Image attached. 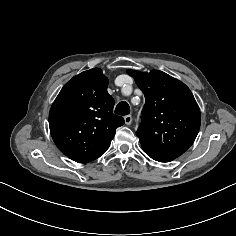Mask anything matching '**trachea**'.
Returning a JSON list of instances; mask_svg holds the SVG:
<instances>
[{
	"mask_svg": "<svg viewBox=\"0 0 236 236\" xmlns=\"http://www.w3.org/2000/svg\"><path fill=\"white\" fill-rule=\"evenodd\" d=\"M129 113H130V107L127 102L122 101L118 103V105L115 108V114L124 116V115H128Z\"/></svg>",
	"mask_w": 236,
	"mask_h": 236,
	"instance_id": "trachea-1",
	"label": "trachea"
}]
</instances>
